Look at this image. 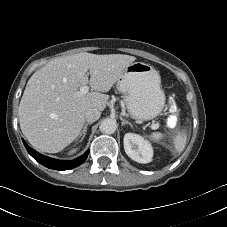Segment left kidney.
Masks as SVG:
<instances>
[{"mask_svg": "<svg viewBox=\"0 0 227 227\" xmlns=\"http://www.w3.org/2000/svg\"><path fill=\"white\" fill-rule=\"evenodd\" d=\"M124 150L126 154L138 163L152 161L153 148L149 141L134 133H126L124 136Z\"/></svg>", "mask_w": 227, "mask_h": 227, "instance_id": "obj_1", "label": "left kidney"}]
</instances>
